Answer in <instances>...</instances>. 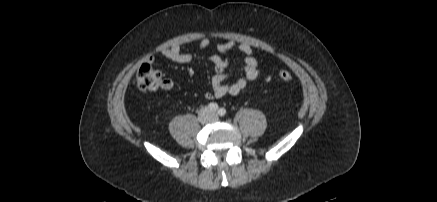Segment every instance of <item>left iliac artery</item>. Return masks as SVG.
Instances as JSON below:
<instances>
[{"mask_svg":"<svg viewBox=\"0 0 437 202\" xmlns=\"http://www.w3.org/2000/svg\"><path fill=\"white\" fill-rule=\"evenodd\" d=\"M218 114H219L220 116H224V115L226 114V110H225L224 108H220V109L218 110Z\"/></svg>","mask_w":437,"mask_h":202,"instance_id":"left-iliac-artery-1","label":"left iliac artery"}]
</instances>
